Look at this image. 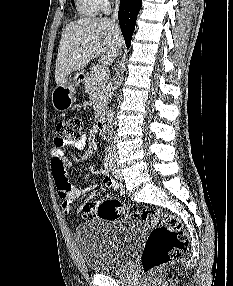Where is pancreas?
<instances>
[{
  "mask_svg": "<svg viewBox=\"0 0 233 286\" xmlns=\"http://www.w3.org/2000/svg\"><path fill=\"white\" fill-rule=\"evenodd\" d=\"M95 72L92 69L86 73L84 86L86 92L89 94V98L92 100L95 116L97 117L107 101V80L105 78L98 80L95 77Z\"/></svg>",
  "mask_w": 233,
  "mask_h": 286,
  "instance_id": "pancreas-1",
  "label": "pancreas"
}]
</instances>
